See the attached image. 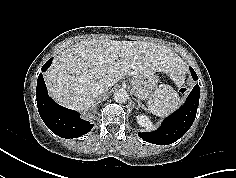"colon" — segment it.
<instances>
[{
	"mask_svg": "<svg viewBox=\"0 0 236 178\" xmlns=\"http://www.w3.org/2000/svg\"><path fill=\"white\" fill-rule=\"evenodd\" d=\"M179 91H180L181 93H185V92L187 91V87L182 86V87L179 89Z\"/></svg>",
	"mask_w": 236,
	"mask_h": 178,
	"instance_id": "1",
	"label": "colon"
}]
</instances>
